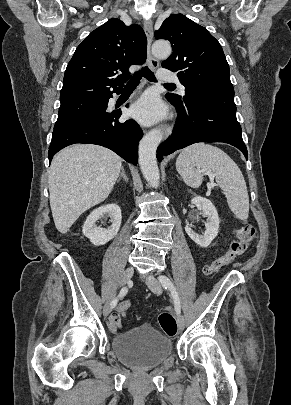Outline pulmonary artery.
<instances>
[{
    "label": "pulmonary artery",
    "mask_w": 291,
    "mask_h": 405,
    "mask_svg": "<svg viewBox=\"0 0 291 405\" xmlns=\"http://www.w3.org/2000/svg\"><path fill=\"white\" fill-rule=\"evenodd\" d=\"M157 75H158V79L161 80V81L178 83L180 90L182 92L185 91V87L179 82V79H178L177 75L174 72H172L170 70H167V69H160L158 71Z\"/></svg>",
    "instance_id": "obj_1"
}]
</instances>
